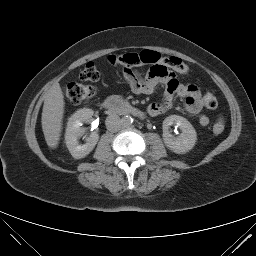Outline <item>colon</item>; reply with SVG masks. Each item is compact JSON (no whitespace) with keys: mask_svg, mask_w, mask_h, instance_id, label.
<instances>
[{"mask_svg":"<svg viewBox=\"0 0 256 256\" xmlns=\"http://www.w3.org/2000/svg\"><path fill=\"white\" fill-rule=\"evenodd\" d=\"M108 62L113 66H122L125 68L143 64H158L165 62L172 70L186 74L189 67L177 57L161 58L160 54L155 51L145 50L140 53H125L121 55H110ZM100 77L98 68L93 62L85 65L80 73L83 81L94 82ZM64 92L67 99L72 104H82L88 102L94 95L95 89L92 85L79 82H71L65 85ZM202 104L208 109H214L218 105L216 96L211 92H206L202 97ZM225 129L223 117H218L214 123L213 130L215 133H222Z\"/></svg>","mask_w":256,"mask_h":256,"instance_id":"1","label":"colon"}]
</instances>
